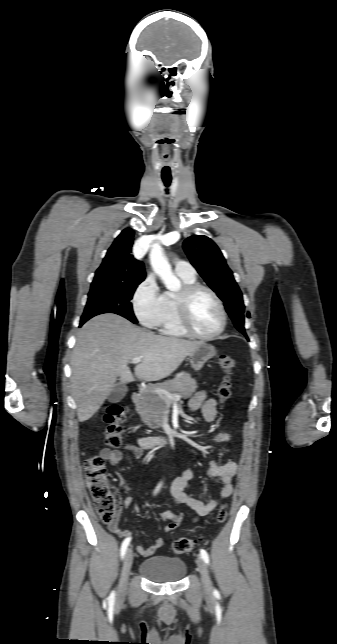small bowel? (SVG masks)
I'll list each match as a JSON object with an SVG mask.
<instances>
[{
    "mask_svg": "<svg viewBox=\"0 0 337 644\" xmlns=\"http://www.w3.org/2000/svg\"><path fill=\"white\" fill-rule=\"evenodd\" d=\"M189 409L191 411L200 410L205 420L209 423L213 422L217 417L216 400L208 397L205 391H200L191 398ZM231 437L230 433L221 432L216 434L212 440L217 443H222L228 442ZM124 452L131 453L137 459H140L144 454V450L140 446L133 443H126L122 450L106 448L101 451L100 455L111 466H116L122 461ZM237 469L238 463L235 461H228L224 464H219L215 461H211L209 463L208 475L214 483L221 485L222 489L219 498L212 499L209 502L204 503L185 493V488L188 482L193 478V470L190 467H187L181 476L168 483L171 496L178 504L186 505L191 508L196 513L195 520L199 517L206 516L218 506L221 500L230 497L233 493V478L236 475ZM119 492L124 496L123 507H131L133 504V498L130 495V488L125 482L120 483ZM120 513L121 509L119 510L115 520L108 524L109 530L121 538H131L130 531L121 528L119 525ZM160 515L166 522L163 529L164 532L175 530L183 519L181 514H175L170 510H164ZM165 544V539L157 538L151 546L144 547L142 545H137L136 550L143 557H149L159 548L165 546Z\"/></svg>",
    "mask_w": 337,
    "mask_h": 644,
    "instance_id": "c3829d8e",
    "label": "small bowel"
}]
</instances>
